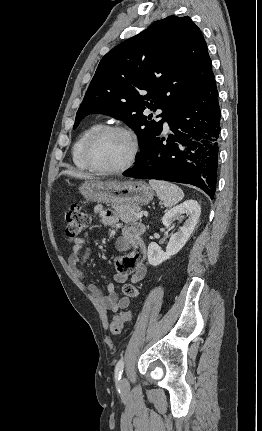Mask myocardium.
I'll return each mask as SVG.
<instances>
[{
    "instance_id": "obj_1",
    "label": "myocardium",
    "mask_w": 262,
    "mask_h": 431,
    "mask_svg": "<svg viewBox=\"0 0 262 431\" xmlns=\"http://www.w3.org/2000/svg\"><path fill=\"white\" fill-rule=\"evenodd\" d=\"M110 132H119L124 134L130 141L131 143V153L129 158L127 159V161L116 168H105L102 167L100 165H98L94 159H93V148L94 145L96 143V141L103 136L104 134L110 133ZM139 152H140V143L138 140V137L136 136V134L134 133V131H132L130 128H128L127 126L124 125H105L102 126L101 128H99L98 130H96L87 140L86 144H85V148H84V160L86 162V164L88 165V167L97 173L100 174H105V175H114V174H120L125 172L126 170H128L129 168H131L138 156H139Z\"/></svg>"
}]
</instances>
